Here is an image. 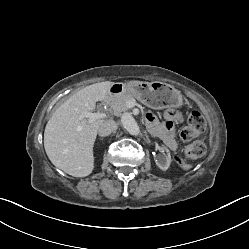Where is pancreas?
<instances>
[{
	"instance_id": "1",
	"label": "pancreas",
	"mask_w": 249,
	"mask_h": 249,
	"mask_svg": "<svg viewBox=\"0 0 249 249\" xmlns=\"http://www.w3.org/2000/svg\"><path fill=\"white\" fill-rule=\"evenodd\" d=\"M134 100L131 95L123 94L115 96L110 100V106L115 114L121 113L128 109L127 102Z\"/></svg>"
}]
</instances>
